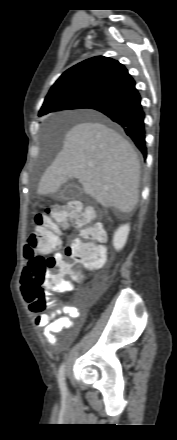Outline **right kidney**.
I'll list each match as a JSON object with an SVG mask.
<instances>
[{"mask_svg": "<svg viewBox=\"0 0 177 440\" xmlns=\"http://www.w3.org/2000/svg\"><path fill=\"white\" fill-rule=\"evenodd\" d=\"M129 232H130L129 224L122 225L115 231L113 236V246L117 251L121 250L124 247Z\"/></svg>", "mask_w": 177, "mask_h": 440, "instance_id": "1", "label": "right kidney"}]
</instances>
